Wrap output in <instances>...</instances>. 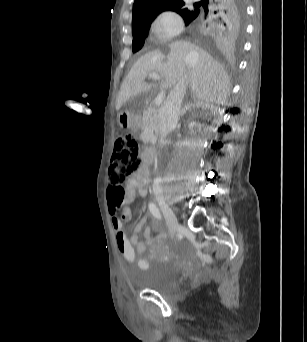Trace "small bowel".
<instances>
[{
    "label": "small bowel",
    "mask_w": 307,
    "mask_h": 342,
    "mask_svg": "<svg viewBox=\"0 0 307 342\" xmlns=\"http://www.w3.org/2000/svg\"><path fill=\"white\" fill-rule=\"evenodd\" d=\"M148 185V172L145 168L137 170L128 180V191L129 198H133L136 192L141 195L147 193ZM115 210L113 206H110L111 213V226L114 232L116 245L120 255L128 262L132 263L135 260L136 253H143L147 247H152L154 253L157 252L164 244L167 239V234L162 232L158 237L151 235V227L147 224V218H143L134 228V232L130 238L127 237L124 231L123 220L115 215ZM125 214H129L128 209H125ZM124 219V218H123ZM130 219V218H129ZM125 220V219H124ZM152 228L155 230H161V224L158 221H154ZM143 230L144 241H139L138 234ZM138 265L142 269H147L149 266V257L143 256L139 259Z\"/></svg>",
    "instance_id": "c3829d8e"
}]
</instances>
